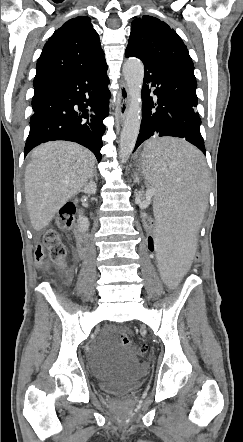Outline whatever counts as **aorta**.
Masks as SVG:
<instances>
[{
  "label": "aorta",
  "mask_w": 243,
  "mask_h": 442,
  "mask_svg": "<svg viewBox=\"0 0 243 442\" xmlns=\"http://www.w3.org/2000/svg\"><path fill=\"white\" fill-rule=\"evenodd\" d=\"M123 73L127 83L130 103L120 135L119 158L121 163H125L131 155L140 131L144 66L139 59L130 58L123 65Z\"/></svg>",
  "instance_id": "aorta-1"
}]
</instances>
